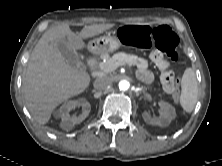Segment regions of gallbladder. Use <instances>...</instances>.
Wrapping results in <instances>:
<instances>
[{
	"mask_svg": "<svg viewBox=\"0 0 222 166\" xmlns=\"http://www.w3.org/2000/svg\"><path fill=\"white\" fill-rule=\"evenodd\" d=\"M56 44L67 64L73 68H79L81 66L78 54L70 48L68 42L65 39L58 40Z\"/></svg>",
	"mask_w": 222,
	"mask_h": 166,
	"instance_id": "obj_1",
	"label": "gallbladder"
}]
</instances>
